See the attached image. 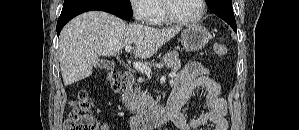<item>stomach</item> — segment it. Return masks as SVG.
I'll use <instances>...</instances> for the list:
<instances>
[{
  "instance_id": "0dacf381",
  "label": "stomach",
  "mask_w": 299,
  "mask_h": 130,
  "mask_svg": "<svg viewBox=\"0 0 299 130\" xmlns=\"http://www.w3.org/2000/svg\"><path fill=\"white\" fill-rule=\"evenodd\" d=\"M210 39L209 31L198 24L189 25L181 33V42L186 51H199L208 44Z\"/></svg>"
}]
</instances>
